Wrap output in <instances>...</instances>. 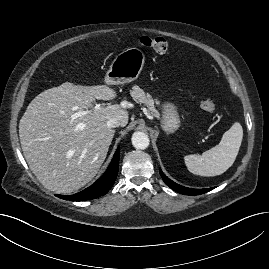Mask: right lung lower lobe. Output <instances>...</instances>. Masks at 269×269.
<instances>
[{
	"label": "right lung lower lobe",
	"instance_id": "obj_1",
	"mask_svg": "<svg viewBox=\"0 0 269 269\" xmlns=\"http://www.w3.org/2000/svg\"><path fill=\"white\" fill-rule=\"evenodd\" d=\"M119 156H120V147H118V149L116 150L113 159L109 167L105 171V173L90 187L71 196L68 195H57V196L64 200L85 201L105 195L113 186L115 179L117 177L119 167Z\"/></svg>",
	"mask_w": 269,
	"mask_h": 269
}]
</instances>
